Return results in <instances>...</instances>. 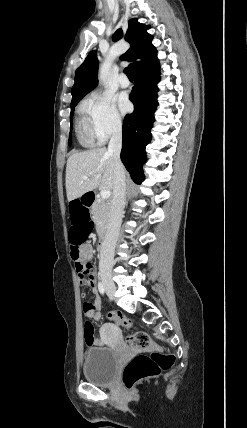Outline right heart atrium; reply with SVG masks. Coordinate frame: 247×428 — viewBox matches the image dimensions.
Instances as JSON below:
<instances>
[{"instance_id":"right-heart-atrium-1","label":"right heart atrium","mask_w":247,"mask_h":428,"mask_svg":"<svg viewBox=\"0 0 247 428\" xmlns=\"http://www.w3.org/2000/svg\"><path fill=\"white\" fill-rule=\"evenodd\" d=\"M88 109L96 139L103 143L122 130V119L112 98L94 94L88 102Z\"/></svg>"}]
</instances>
